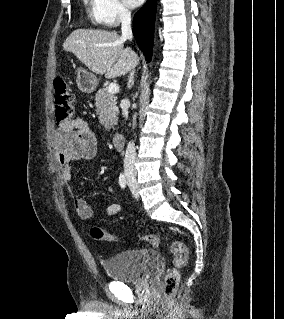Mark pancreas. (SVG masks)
Segmentation results:
<instances>
[{
  "label": "pancreas",
  "instance_id": "obj_1",
  "mask_svg": "<svg viewBox=\"0 0 284 319\" xmlns=\"http://www.w3.org/2000/svg\"><path fill=\"white\" fill-rule=\"evenodd\" d=\"M96 114L99 122L106 130L114 126L118 121L117 97L108 92V88H102L96 93L95 97Z\"/></svg>",
  "mask_w": 284,
  "mask_h": 319
}]
</instances>
